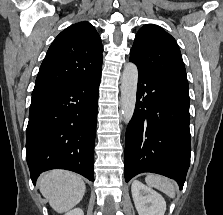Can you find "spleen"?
Here are the masks:
<instances>
[{
	"label": "spleen",
	"mask_w": 223,
	"mask_h": 215,
	"mask_svg": "<svg viewBox=\"0 0 223 215\" xmlns=\"http://www.w3.org/2000/svg\"><path fill=\"white\" fill-rule=\"evenodd\" d=\"M145 181L148 185H151V187H156V189L164 191L169 197H175L177 187L168 177H163V175H152V173H150V175L145 177Z\"/></svg>",
	"instance_id": "3e777b00"
}]
</instances>
